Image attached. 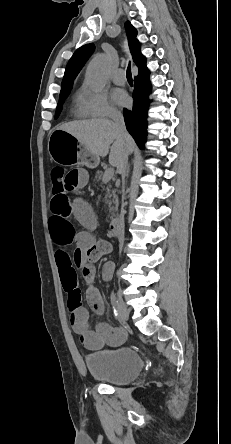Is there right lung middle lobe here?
Here are the masks:
<instances>
[{
    "label": "right lung middle lobe",
    "mask_w": 231,
    "mask_h": 444,
    "mask_svg": "<svg viewBox=\"0 0 231 444\" xmlns=\"http://www.w3.org/2000/svg\"><path fill=\"white\" fill-rule=\"evenodd\" d=\"M69 92H70V89L66 90V91H61L60 92V97H59V102L57 104L55 118H57L59 116L60 111L62 109V104H63L64 100L66 99V97L68 96Z\"/></svg>",
    "instance_id": "1"
}]
</instances>
